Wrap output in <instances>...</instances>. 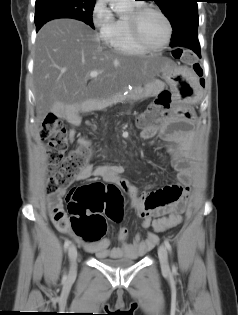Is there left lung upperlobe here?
Returning <instances> with one entry per match:
<instances>
[{
    "label": "left lung upper lobe",
    "mask_w": 238,
    "mask_h": 315,
    "mask_svg": "<svg viewBox=\"0 0 238 315\" xmlns=\"http://www.w3.org/2000/svg\"><path fill=\"white\" fill-rule=\"evenodd\" d=\"M171 23L172 42L197 36L199 18L197 0H152ZM171 42V43H172Z\"/></svg>",
    "instance_id": "obj_1"
}]
</instances>
